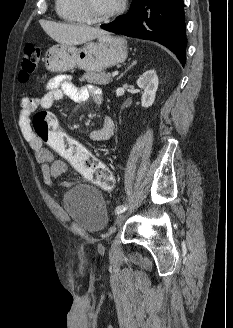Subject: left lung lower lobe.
<instances>
[{"mask_svg": "<svg viewBox=\"0 0 233 328\" xmlns=\"http://www.w3.org/2000/svg\"><path fill=\"white\" fill-rule=\"evenodd\" d=\"M101 28L129 37L158 42L186 62L183 0H133L128 13Z\"/></svg>", "mask_w": 233, "mask_h": 328, "instance_id": "1", "label": "left lung lower lobe"}]
</instances>
